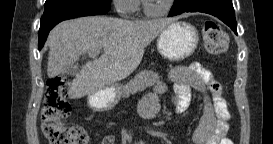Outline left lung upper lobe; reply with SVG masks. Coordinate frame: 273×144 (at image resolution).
Here are the masks:
<instances>
[{"instance_id": "obj_1", "label": "left lung upper lobe", "mask_w": 273, "mask_h": 144, "mask_svg": "<svg viewBox=\"0 0 273 144\" xmlns=\"http://www.w3.org/2000/svg\"><path fill=\"white\" fill-rule=\"evenodd\" d=\"M181 1H182V0H175L174 4H175V3H179V2H181Z\"/></svg>"}]
</instances>
